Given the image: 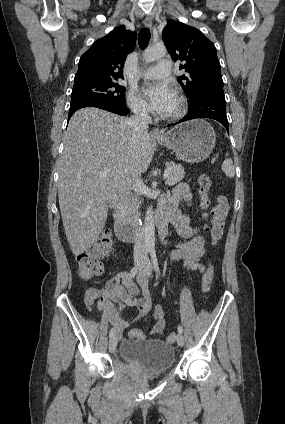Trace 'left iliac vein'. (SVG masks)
I'll return each instance as SVG.
<instances>
[{"label": "left iliac vein", "mask_w": 285, "mask_h": 424, "mask_svg": "<svg viewBox=\"0 0 285 424\" xmlns=\"http://www.w3.org/2000/svg\"><path fill=\"white\" fill-rule=\"evenodd\" d=\"M151 271H152L151 262H150V260H149L148 257H144V260H143V263H142V274L145 277H149L151 275ZM176 341H177V344L179 346H183V344H184V336H183L182 333H178L177 334Z\"/></svg>", "instance_id": "left-iliac-vein-1"}]
</instances>
